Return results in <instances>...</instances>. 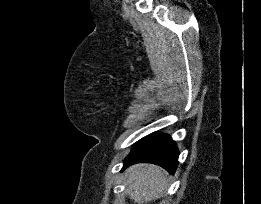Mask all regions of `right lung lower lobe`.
Segmentation results:
<instances>
[{
  "instance_id": "1",
  "label": "right lung lower lobe",
  "mask_w": 261,
  "mask_h": 204,
  "mask_svg": "<svg viewBox=\"0 0 261 204\" xmlns=\"http://www.w3.org/2000/svg\"><path fill=\"white\" fill-rule=\"evenodd\" d=\"M179 151L175 142L168 135L152 133L134 146L124 161L123 169L135 163H153L173 174L177 168Z\"/></svg>"
}]
</instances>
